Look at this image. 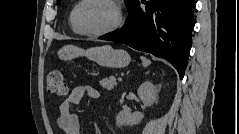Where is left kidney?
I'll use <instances>...</instances> for the list:
<instances>
[{
  "label": "left kidney",
  "instance_id": "obj_1",
  "mask_svg": "<svg viewBox=\"0 0 239 134\" xmlns=\"http://www.w3.org/2000/svg\"><path fill=\"white\" fill-rule=\"evenodd\" d=\"M138 96L145 106H151L157 99L158 90L152 84L151 81H145L142 83L138 90ZM144 118V114L141 112H128L126 110L120 111L116 116V125L122 126H133L139 124Z\"/></svg>",
  "mask_w": 239,
  "mask_h": 134
}]
</instances>
